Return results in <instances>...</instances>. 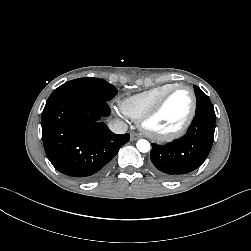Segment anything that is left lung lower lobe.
<instances>
[{"label":"left lung lower lobe","instance_id":"left-lung-lower-lobe-1","mask_svg":"<svg viewBox=\"0 0 251 251\" xmlns=\"http://www.w3.org/2000/svg\"><path fill=\"white\" fill-rule=\"evenodd\" d=\"M215 122V115L195 114L182 138L165 145L152 144V170L162 178L173 180L202 165L212 147Z\"/></svg>","mask_w":251,"mask_h":251}]
</instances>
